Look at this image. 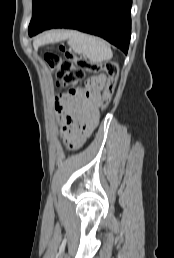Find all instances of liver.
<instances>
[{"mask_svg": "<svg viewBox=\"0 0 174 258\" xmlns=\"http://www.w3.org/2000/svg\"><path fill=\"white\" fill-rule=\"evenodd\" d=\"M60 35H61L60 33H58V34H56V33L48 34L47 36L44 37V40H50L52 37H58Z\"/></svg>", "mask_w": 174, "mask_h": 258, "instance_id": "1", "label": "liver"}]
</instances>
